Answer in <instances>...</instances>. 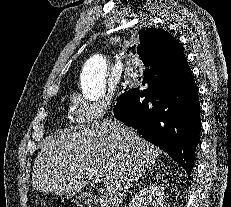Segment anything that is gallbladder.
<instances>
[{"label": "gallbladder", "mask_w": 231, "mask_h": 207, "mask_svg": "<svg viewBox=\"0 0 231 207\" xmlns=\"http://www.w3.org/2000/svg\"><path fill=\"white\" fill-rule=\"evenodd\" d=\"M76 199L83 201L86 205H88V207H93L97 204L96 197L93 194L87 192L79 193L76 196Z\"/></svg>", "instance_id": "1"}]
</instances>
